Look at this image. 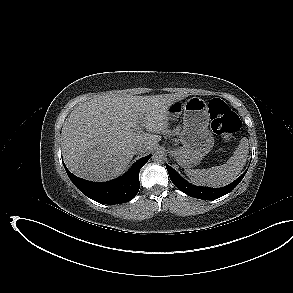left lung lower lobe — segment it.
Listing matches in <instances>:
<instances>
[{
    "label": "left lung lower lobe",
    "instance_id": "1",
    "mask_svg": "<svg viewBox=\"0 0 293 293\" xmlns=\"http://www.w3.org/2000/svg\"><path fill=\"white\" fill-rule=\"evenodd\" d=\"M169 177L173 184L182 192L185 194L195 197L198 199L203 200H210V199H216L221 196L226 195L227 193L231 192L243 179V177L246 174V171L238 177L235 181H233L231 184L223 187V188H206V187H199L194 186L188 182H186L173 168L166 165Z\"/></svg>",
    "mask_w": 293,
    "mask_h": 293
}]
</instances>
